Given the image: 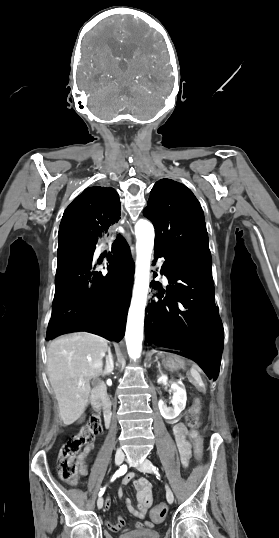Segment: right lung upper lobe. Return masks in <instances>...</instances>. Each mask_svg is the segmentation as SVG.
I'll return each instance as SVG.
<instances>
[{
  "instance_id": "cb5924a9",
  "label": "right lung upper lobe",
  "mask_w": 279,
  "mask_h": 538,
  "mask_svg": "<svg viewBox=\"0 0 279 538\" xmlns=\"http://www.w3.org/2000/svg\"><path fill=\"white\" fill-rule=\"evenodd\" d=\"M98 333H100V334H103V335H107V334H105V333H102V332H98Z\"/></svg>"
}]
</instances>
